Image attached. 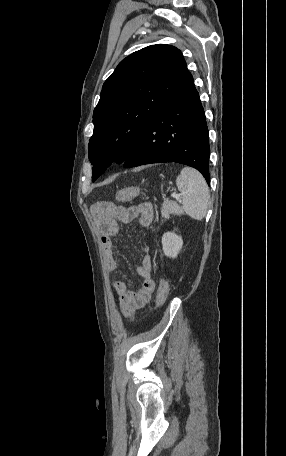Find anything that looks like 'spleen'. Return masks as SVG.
<instances>
[{"label":"spleen","mask_w":286,"mask_h":456,"mask_svg":"<svg viewBox=\"0 0 286 456\" xmlns=\"http://www.w3.org/2000/svg\"><path fill=\"white\" fill-rule=\"evenodd\" d=\"M176 185L182 194V208L195 220H202L209 206V188L204 177L195 169L185 167L176 178Z\"/></svg>","instance_id":"3e777b00"}]
</instances>
